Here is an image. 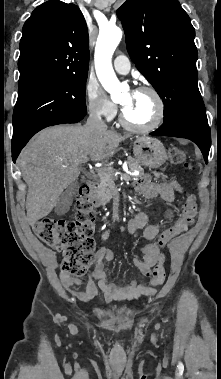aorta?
<instances>
[{
    "mask_svg": "<svg viewBox=\"0 0 221 379\" xmlns=\"http://www.w3.org/2000/svg\"><path fill=\"white\" fill-rule=\"evenodd\" d=\"M122 39V31L116 26H107L100 30L95 48V69L97 77L110 93L113 100L121 96L120 83L112 67V55Z\"/></svg>",
    "mask_w": 221,
    "mask_h": 379,
    "instance_id": "1",
    "label": "aorta"
}]
</instances>
